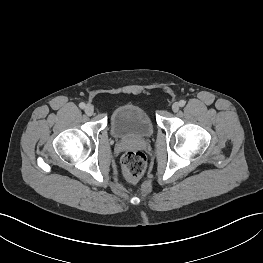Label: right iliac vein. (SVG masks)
Returning <instances> with one entry per match:
<instances>
[{
    "label": "right iliac vein",
    "instance_id": "63e3f726",
    "mask_svg": "<svg viewBox=\"0 0 263 263\" xmlns=\"http://www.w3.org/2000/svg\"><path fill=\"white\" fill-rule=\"evenodd\" d=\"M85 113L88 115V116H91L93 113H94V108L92 105H87L85 106Z\"/></svg>",
    "mask_w": 263,
    "mask_h": 263
}]
</instances>
